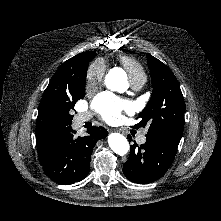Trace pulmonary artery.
I'll use <instances>...</instances> for the list:
<instances>
[{
    "mask_svg": "<svg viewBox=\"0 0 221 221\" xmlns=\"http://www.w3.org/2000/svg\"><path fill=\"white\" fill-rule=\"evenodd\" d=\"M145 80H146V78H140V79H138V80L131 81V86H132V88H133L134 90H139V89L142 88V86L144 85ZM89 119H90V115H89V114H80V115L77 117V122H78L79 124H81V123H83V122H85V121H87V120H89ZM146 134H147V132L144 131L142 134H140V135L138 136V142H139L140 144H143V143L146 142V139H147V138H146Z\"/></svg>",
    "mask_w": 221,
    "mask_h": 221,
    "instance_id": "e3ab8cb5",
    "label": "pulmonary artery"
}]
</instances>
